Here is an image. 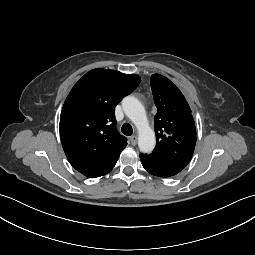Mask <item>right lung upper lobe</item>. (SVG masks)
<instances>
[{
  "instance_id": "1",
  "label": "right lung upper lobe",
  "mask_w": 255,
  "mask_h": 255,
  "mask_svg": "<svg viewBox=\"0 0 255 255\" xmlns=\"http://www.w3.org/2000/svg\"><path fill=\"white\" fill-rule=\"evenodd\" d=\"M141 78L110 69L86 73L67 96L60 116V138L70 164L88 178L110 172L126 137L116 129L114 110Z\"/></svg>"
}]
</instances>
